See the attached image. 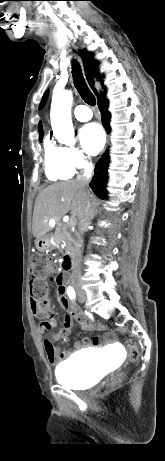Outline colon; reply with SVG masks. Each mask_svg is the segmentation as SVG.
Here are the masks:
<instances>
[{"mask_svg":"<svg viewBox=\"0 0 165 461\" xmlns=\"http://www.w3.org/2000/svg\"><path fill=\"white\" fill-rule=\"evenodd\" d=\"M57 274L54 266L50 263L49 259L45 256H35L31 264V296L37 303L38 307L46 314H50L51 308L48 302V287L46 280L52 278L55 281ZM129 357L132 361H136L139 356L138 348L134 341L128 342ZM120 381V377H113L108 382V388L115 387Z\"/></svg>","mask_w":165,"mask_h":461,"instance_id":"1","label":"colon"}]
</instances>
